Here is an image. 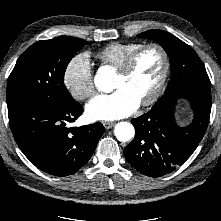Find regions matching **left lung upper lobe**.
Here are the masks:
<instances>
[{
	"label": "left lung upper lobe",
	"instance_id": "5c2ea615",
	"mask_svg": "<svg viewBox=\"0 0 221 221\" xmlns=\"http://www.w3.org/2000/svg\"><path fill=\"white\" fill-rule=\"evenodd\" d=\"M138 37L157 41L169 56L172 77L165 93L188 84L211 87L201 59L189 45L163 30L145 31Z\"/></svg>",
	"mask_w": 221,
	"mask_h": 221
}]
</instances>
